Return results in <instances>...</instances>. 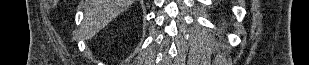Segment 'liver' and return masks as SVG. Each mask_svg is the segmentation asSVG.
I'll list each match as a JSON object with an SVG mask.
<instances>
[{"label":"liver","mask_w":309,"mask_h":65,"mask_svg":"<svg viewBox=\"0 0 309 65\" xmlns=\"http://www.w3.org/2000/svg\"><path fill=\"white\" fill-rule=\"evenodd\" d=\"M133 2L134 0H86L82 25L84 38H92Z\"/></svg>","instance_id":"liver-1"}]
</instances>
